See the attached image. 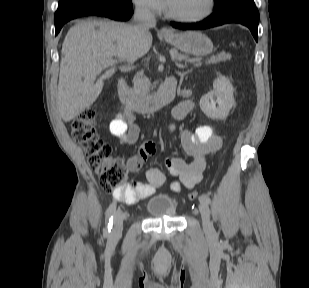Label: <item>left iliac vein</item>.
Listing matches in <instances>:
<instances>
[{
  "label": "left iliac vein",
  "mask_w": 309,
  "mask_h": 288,
  "mask_svg": "<svg viewBox=\"0 0 309 288\" xmlns=\"http://www.w3.org/2000/svg\"><path fill=\"white\" fill-rule=\"evenodd\" d=\"M199 211L202 217V224L205 232L207 234H213L214 233V228L213 225L210 221V212H209V207L208 204L204 201H200L199 204Z\"/></svg>",
  "instance_id": "4c4485c4"
}]
</instances>
